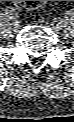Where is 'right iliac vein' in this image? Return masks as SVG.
Returning a JSON list of instances; mask_svg holds the SVG:
<instances>
[{"instance_id":"obj_1","label":"right iliac vein","mask_w":74,"mask_h":122,"mask_svg":"<svg viewBox=\"0 0 74 122\" xmlns=\"http://www.w3.org/2000/svg\"><path fill=\"white\" fill-rule=\"evenodd\" d=\"M7 9H9V8H6V10ZM13 29H14V31H16V32H18L19 30H20V22L19 21H15V22H13Z\"/></svg>"}]
</instances>
